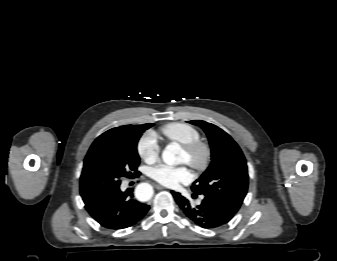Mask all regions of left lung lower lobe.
<instances>
[{
    "instance_id": "0a47b994",
    "label": "left lung lower lobe",
    "mask_w": 337,
    "mask_h": 261,
    "mask_svg": "<svg viewBox=\"0 0 337 261\" xmlns=\"http://www.w3.org/2000/svg\"><path fill=\"white\" fill-rule=\"evenodd\" d=\"M172 194L186 217L202 228L214 229L221 227L227 224L235 215L223 204L208 197H205L199 206L193 208L180 193L173 191Z\"/></svg>"
}]
</instances>
